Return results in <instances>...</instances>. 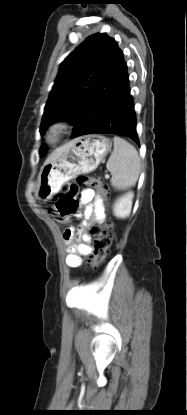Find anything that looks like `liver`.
Returning <instances> with one entry per match:
<instances>
[{"mask_svg": "<svg viewBox=\"0 0 187 415\" xmlns=\"http://www.w3.org/2000/svg\"><path fill=\"white\" fill-rule=\"evenodd\" d=\"M70 147V143L63 145L62 147L57 148L54 150L51 155L47 158L45 163H49L55 159H57L64 151H66Z\"/></svg>", "mask_w": 187, "mask_h": 415, "instance_id": "1", "label": "liver"}]
</instances>
